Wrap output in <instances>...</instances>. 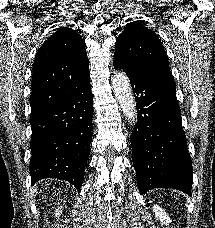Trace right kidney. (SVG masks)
<instances>
[{
	"instance_id": "obj_1",
	"label": "right kidney",
	"mask_w": 215,
	"mask_h": 228,
	"mask_svg": "<svg viewBox=\"0 0 215 228\" xmlns=\"http://www.w3.org/2000/svg\"><path fill=\"white\" fill-rule=\"evenodd\" d=\"M60 214H61V208L60 210H56V214H55L56 218H59Z\"/></svg>"
}]
</instances>
